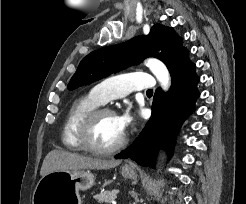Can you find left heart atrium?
I'll return each mask as SVG.
<instances>
[{"label": "left heart atrium", "instance_id": "1", "mask_svg": "<svg viewBox=\"0 0 246 204\" xmlns=\"http://www.w3.org/2000/svg\"><path fill=\"white\" fill-rule=\"evenodd\" d=\"M117 121L119 123L120 128L125 132L128 128H130L135 120L136 116L132 114L130 111H125L122 114L116 116Z\"/></svg>", "mask_w": 246, "mask_h": 204}]
</instances>
